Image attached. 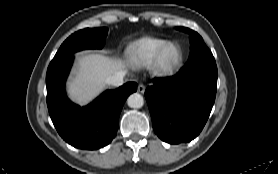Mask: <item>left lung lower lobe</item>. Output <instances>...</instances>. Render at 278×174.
I'll use <instances>...</instances> for the list:
<instances>
[{"label": "left lung lower lobe", "mask_w": 278, "mask_h": 174, "mask_svg": "<svg viewBox=\"0 0 278 174\" xmlns=\"http://www.w3.org/2000/svg\"><path fill=\"white\" fill-rule=\"evenodd\" d=\"M217 77V71L196 67L153 80L145 98L160 139L178 144L199 135L214 104Z\"/></svg>", "instance_id": "obj_1"}]
</instances>
